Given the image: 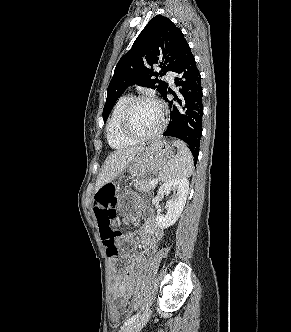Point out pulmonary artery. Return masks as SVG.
<instances>
[{
	"instance_id": "pulmonary-artery-1",
	"label": "pulmonary artery",
	"mask_w": 291,
	"mask_h": 332,
	"mask_svg": "<svg viewBox=\"0 0 291 332\" xmlns=\"http://www.w3.org/2000/svg\"><path fill=\"white\" fill-rule=\"evenodd\" d=\"M167 80H168L170 83H173V82H174V75H173V73H171V72H168V73H167Z\"/></svg>"
}]
</instances>
